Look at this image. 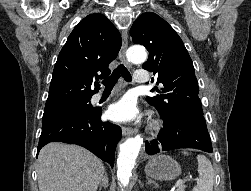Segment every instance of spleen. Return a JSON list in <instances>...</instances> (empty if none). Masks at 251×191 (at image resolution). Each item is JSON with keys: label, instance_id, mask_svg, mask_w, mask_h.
<instances>
[{"label": "spleen", "instance_id": "obj_1", "mask_svg": "<svg viewBox=\"0 0 251 191\" xmlns=\"http://www.w3.org/2000/svg\"><path fill=\"white\" fill-rule=\"evenodd\" d=\"M189 155L188 151H182ZM199 181L193 191H212L214 183L213 165L206 155H197Z\"/></svg>", "mask_w": 251, "mask_h": 191}]
</instances>
